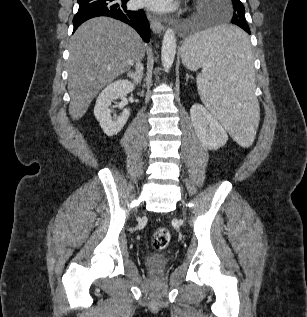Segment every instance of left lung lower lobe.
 Masks as SVG:
<instances>
[{"label": "left lung lower lobe", "mask_w": 307, "mask_h": 317, "mask_svg": "<svg viewBox=\"0 0 307 317\" xmlns=\"http://www.w3.org/2000/svg\"><path fill=\"white\" fill-rule=\"evenodd\" d=\"M235 22L232 23L238 25L241 27L245 32L250 34V29L248 25L241 24L239 20H234ZM224 43L232 50L238 51L242 49L247 43H248V38L246 33H241L240 35L237 36H228L224 39Z\"/></svg>", "instance_id": "0a47b994"}]
</instances>
